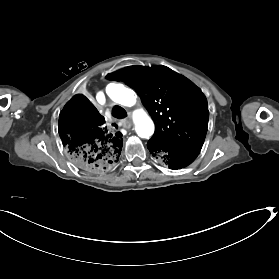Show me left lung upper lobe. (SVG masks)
I'll use <instances>...</instances> for the list:
<instances>
[{"label": "left lung upper lobe", "mask_w": 279, "mask_h": 279, "mask_svg": "<svg viewBox=\"0 0 279 279\" xmlns=\"http://www.w3.org/2000/svg\"><path fill=\"white\" fill-rule=\"evenodd\" d=\"M123 81L140 96L155 122L150 142L201 150L209 111L204 94L186 77L162 65L131 66L108 74Z\"/></svg>", "instance_id": "1"}]
</instances>
